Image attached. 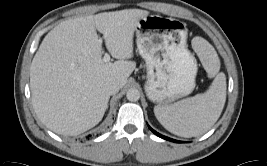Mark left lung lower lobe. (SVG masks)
<instances>
[{"instance_id": "obj_1", "label": "left lung lower lobe", "mask_w": 267, "mask_h": 166, "mask_svg": "<svg viewBox=\"0 0 267 166\" xmlns=\"http://www.w3.org/2000/svg\"><path fill=\"white\" fill-rule=\"evenodd\" d=\"M148 127H149V129H150L154 134H156L158 137H161V138L166 139V140H168V141H172V142L180 143V141H177V140L168 138V137H166V136H163V135L159 134L158 132H156L155 130H153L150 126H148Z\"/></svg>"}]
</instances>
